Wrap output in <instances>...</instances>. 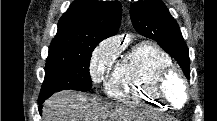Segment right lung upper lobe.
I'll return each mask as SVG.
<instances>
[{"label": "right lung upper lobe", "mask_w": 217, "mask_h": 121, "mask_svg": "<svg viewBox=\"0 0 217 121\" xmlns=\"http://www.w3.org/2000/svg\"><path fill=\"white\" fill-rule=\"evenodd\" d=\"M121 16L122 7L118 1L76 0L60 18L52 42H100L117 33Z\"/></svg>", "instance_id": "obj_1"}]
</instances>
